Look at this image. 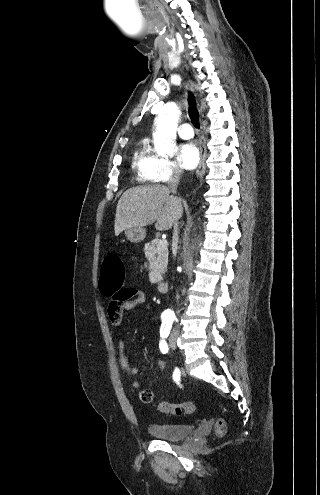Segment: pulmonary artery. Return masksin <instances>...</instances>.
Segmentation results:
<instances>
[{
    "label": "pulmonary artery",
    "mask_w": 320,
    "mask_h": 495,
    "mask_svg": "<svg viewBox=\"0 0 320 495\" xmlns=\"http://www.w3.org/2000/svg\"><path fill=\"white\" fill-rule=\"evenodd\" d=\"M178 134L183 139H190L194 136L193 128L189 123H183L178 128Z\"/></svg>",
    "instance_id": "e3ab8cb5"
}]
</instances>
